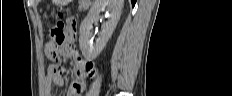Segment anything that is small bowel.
Here are the masks:
<instances>
[{"mask_svg":"<svg viewBox=\"0 0 232 96\" xmlns=\"http://www.w3.org/2000/svg\"><path fill=\"white\" fill-rule=\"evenodd\" d=\"M76 16H78V11H70V15H65V20H67V30L66 35H68V39H77L78 32H81V27H78V19H76ZM51 47L50 43L46 44V50ZM78 54H71L70 57H78ZM95 63H81L78 66V69L82 68H95ZM45 95H50L52 91V86H62L64 84V71L59 69L56 66H50L48 68L46 77H45ZM82 91V86L80 83L74 82L70 85L68 89V96H80Z\"/></svg>","mask_w":232,"mask_h":96,"instance_id":"obj_1","label":"small bowel"}]
</instances>
